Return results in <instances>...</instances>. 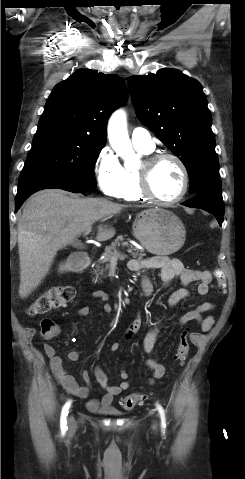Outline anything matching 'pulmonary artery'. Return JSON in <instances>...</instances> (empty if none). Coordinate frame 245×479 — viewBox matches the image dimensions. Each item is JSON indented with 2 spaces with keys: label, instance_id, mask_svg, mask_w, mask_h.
<instances>
[{
  "label": "pulmonary artery",
  "instance_id": "obj_1",
  "mask_svg": "<svg viewBox=\"0 0 245 479\" xmlns=\"http://www.w3.org/2000/svg\"><path fill=\"white\" fill-rule=\"evenodd\" d=\"M131 141L135 148L152 151L154 149V142L148 130L144 128H135L131 133Z\"/></svg>",
  "mask_w": 245,
  "mask_h": 479
}]
</instances>
